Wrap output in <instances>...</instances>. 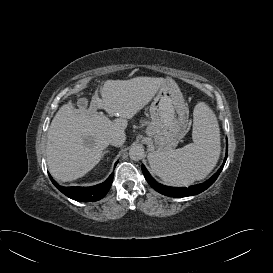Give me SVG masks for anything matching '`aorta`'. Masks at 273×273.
<instances>
[{"label":"aorta","instance_id":"obj_1","mask_svg":"<svg viewBox=\"0 0 273 273\" xmlns=\"http://www.w3.org/2000/svg\"><path fill=\"white\" fill-rule=\"evenodd\" d=\"M129 156L134 161H139L144 158L145 151L141 145H133L129 150Z\"/></svg>","mask_w":273,"mask_h":273}]
</instances>
